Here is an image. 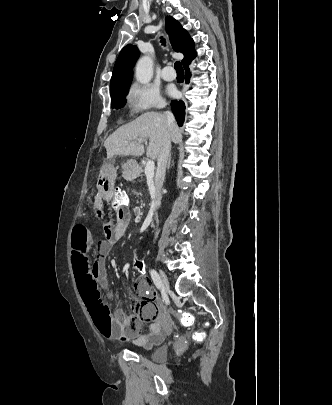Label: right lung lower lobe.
Listing matches in <instances>:
<instances>
[{
  "mask_svg": "<svg viewBox=\"0 0 332 405\" xmlns=\"http://www.w3.org/2000/svg\"><path fill=\"white\" fill-rule=\"evenodd\" d=\"M191 62L187 63L184 65V69H185V80L186 83H189L190 77H191V73L190 70L188 68L189 64ZM171 108L172 111L176 117L177 123L179 126L183 125L184 122V117H185V104L183 101H172L171 102Z\"/></svg>",
  "mask_w": 332,
  "mask_h": 405,
  "instance_id": "98d812e1",
  "label": "right lung lower lobe"
}]
</instances>
